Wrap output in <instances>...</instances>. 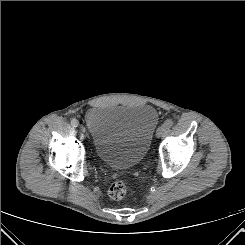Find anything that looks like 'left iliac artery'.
I'll use <instances>...</instances> for the list:
<instances>
[{"mask_svg":"<svg viewBox=\"0 0 245 245\" xmlns=\"http://www.w3.org/2000/svg\"><path fill=\"white\" fill-rule=\"evenodd\" d=\"M172 125H173L172 119H167V120L164 122V124H163V126H164L166 129H169Z\"/></svg>","mask_w":245,"mask_h":245,"instance_id":"obj_1","label":"left iliac artery"}]
</instances>
